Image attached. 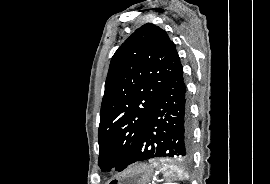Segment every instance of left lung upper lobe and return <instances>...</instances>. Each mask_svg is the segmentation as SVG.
I'll return each instance as SVG.
<instances>
[{
	"instance_id": "1",
	"label": "left lung upper lobe",
	"mask_w": 270,
	"mask_h": 184,
	"mask_svg": "<svg viewBox=\"0 0 270 184\" xmlns=\"http://www.w3.org/2000/svg\"><path fill=\"white\" fill-rule=\"evenodd\" d=\"M180 64L175 44L160 27L138 28L112 57L98 131L102 171H122L137 147L156 101Z\"/></svg>"
}]
</instances>
